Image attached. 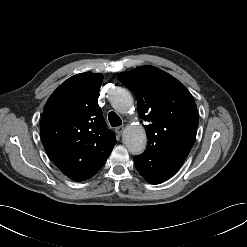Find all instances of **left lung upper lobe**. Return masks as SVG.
I'll return each mask as SVG.
<instances>
[{"label":"left lung upper lobe","instance_id":"1","mask_svg":"<svg viewBox=\"0 0 247 247\" xmlns=\"http://www.w3.org/2000/svg\"><path fill=\"white\" fill-rule=\"evenodd\" d=\"M117 77L136 96L139 116L149 122L145 126L146 150L181 148L190 152L196 138L198 113L187 88L153 66L138 67Z\"/></svg>","mask_w":247,"mask_h":247}]
</instances>
